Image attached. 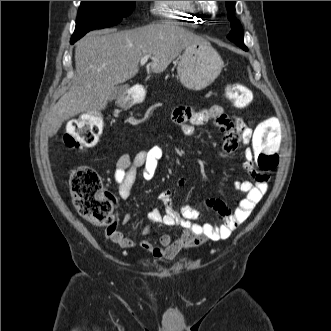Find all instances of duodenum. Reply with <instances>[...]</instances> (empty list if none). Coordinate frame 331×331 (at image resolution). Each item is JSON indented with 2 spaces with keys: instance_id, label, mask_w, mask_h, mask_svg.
I'll list each match as a JSON object with an SVG mask.
<instances>
[{
  "instance_id": "410a0bca",
  "label": "duodenum",
  "mask_w": 331,
  "mask_h": 331,
  "mask_svg": "<svg viewBox=\"0 0 331 331\" xmlns=\"http://www.w3.org/2000/svg\"><path fill=\"white\" fill-rule=\"evenodd\" d=\"M145 96V89L141 85H136L132 87L128 93L127 98L130 102L137 103L140 102Z\"/></svg>"
}]
</instances>
